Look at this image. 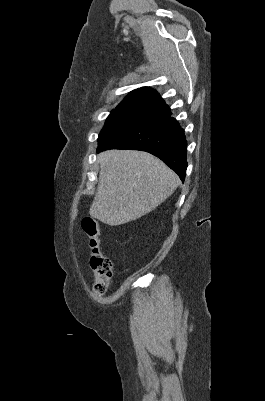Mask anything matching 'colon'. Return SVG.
Masks as SVG:
<instances>
[{
	"label": "colon",
	"instance_id": "colon-1",
	"mask_svg": "<svg viewBox=\"0 0 265 401\" xmlns=\"http://www.w3.org/2000/svg\"><path fill=\"white\" fill-rule=\"evenodd\" d=\"M82 228L90 239L92 249L90 267L94 273L93 293L101 296L107 291L112 278V263L101 251L98 221L92 217H85L82 220Z\"/></svg>",
	"mask_w": 265,
	"mask_h": 401
}]
</instances>
